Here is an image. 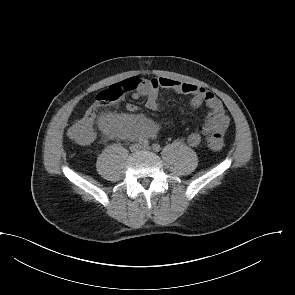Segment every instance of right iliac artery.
Masks as SVG:
<instances>
[{"label": "right iliac artery", "instance_id": "82829eb1", "mask_svg": "<svg viewBox=\"0 0 295 295\" xmlns=\"http://www.w3.org/2000/svg\"><path fill=\"white\" fill-rule=\"evenodd\" d=\"M140 144L143 145V146H148L149 145V141L144 139V140H141L140 141Z\"/></svg>", "mask_w": 295, "mask_h": 295}]
</instances>
